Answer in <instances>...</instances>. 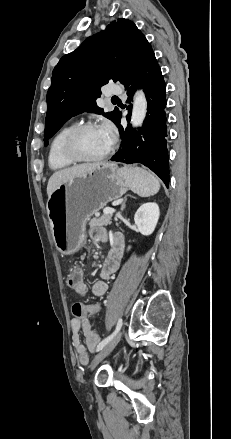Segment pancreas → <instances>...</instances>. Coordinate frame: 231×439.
<instances>
[{
  "instance_id": "pancreas-1",
  "label": "pancreas",
  "mask_w": 231,
  "mask_h": 439,
  "mask_svg": "<svg viewBox=\"0 0 231 439\" xmlns=\"http://www.w3.org/2000/svg\"><path fill=\"white\" fill-rule=\"evenodd\" d=\"M111 217L112 216L110 214H108V215H103V216H101L99 218H93V219L90 220L89 226L91 228H94L96 226H107V225H110L111 224Z\"/></svg>"
}]
</instances>
